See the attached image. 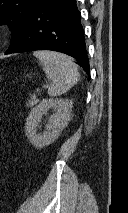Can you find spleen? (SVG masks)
<instances>
[{
    "instance_id": "obj_1",
    "label": "spleen",
    "mask_w": 128,
    "mask_h": 213,
    "mask_svg": "<svg viewBox=\"0 0 128 213\" xmlns=\"http://www.w3.org/2000/svg\"><path fill=\"white\" fill-rule=\"evenodd\" d=\"M33 55L41 61L46 76L51 80L49 96L62 95L79 81L77 65L71 57L54 51H34Z\"/></svg>"
}]
</instances>
